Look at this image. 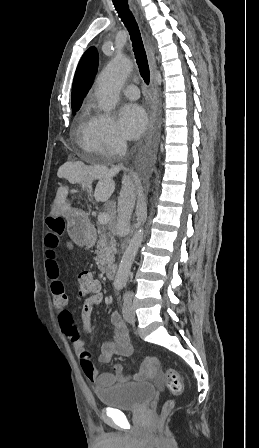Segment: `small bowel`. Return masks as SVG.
<instances>
[{
  "label": "small bowel",
  "mask_w": 259,
  "mask_h": 448,
  "mask_svg": "<svg viewBox=\"0 0 259 448\" xmlns=\"http://www.w3.org/2000/svg\"><path fill=\"white\" fill-rule=\"evenodd\" d=\"M64 231V224L59 219H50L44 234L45 267L50 280V288L53 295V302L57 310V319L63 333L71 340L75 352L77 353L81 367L86 377L98 387H109L117 382L129 380L143 381L154 379L159 375V361L155 357H148L142 363L140 370L126 376L123 367L116 364L113 372H99L90 360L88 351L85 348V341L80 331L74 326L72 315L67 309L68 299L64 290L63 282L59 275V263L57 258V247L60 237ZM102 293H98L86 298L81 311V327L83 332H92V310L103 301ZM111 323L114 327L113 336L110 340L104 341L101 345L99 361L107 364L114 355L130 356L133 348L128 337V329L122 317L113 312Z\"/></svg>",
  "instance_id": "1"
}]
</instances>
